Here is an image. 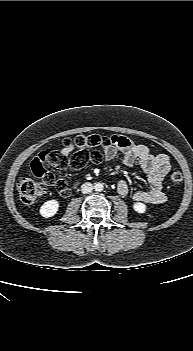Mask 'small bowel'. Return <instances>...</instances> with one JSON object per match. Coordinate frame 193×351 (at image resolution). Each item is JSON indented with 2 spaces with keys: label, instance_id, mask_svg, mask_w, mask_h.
I'll list each match as a JSON object with an SVG mask.
<instances>
[{
  "label": "small bowel",
  "instance_id": "obj_1",
  "mask_svg": "<svg viewBox=\"0 0 193 351\" xmlns=\"http://www.w3.org/2000/svg\"><path fill=\"white\" fill-rule=\"evenodd\" d=\"M111 138L113 145L104 149L105 160L111 161L115 159L118 151H120L122 153V162L126 166L138 164L147 174L149 189L134 191L132 198L137 202L147 204L164 203L166 195L163 191V180L169 171V157L165 154H152L147 146L136 144L124 136L114 135ZM72 150V145H63L61 154L67 157ZM117 191L122 196H128L131 193L130 187L125 180L118 181Z\"/></svg>",
  "mask_w": 193,
  "mask_h": 351
}]
</instances>
